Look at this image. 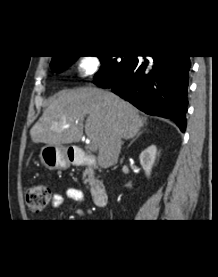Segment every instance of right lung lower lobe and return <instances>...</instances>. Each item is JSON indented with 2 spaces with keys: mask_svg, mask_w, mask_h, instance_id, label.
Returning a JSON list of instances; mask_svg holds the SVG:
<instances>
[{
  "mask_svg": "<svg viewBox=\"0 0 218 277\" xmlns=\"http://www.w3.org/2000/svg\"><path fill=\"white\" fill-rule=\"evenodd\" d=\"M137 58L112 84L97 85L131 102L147 114L169 118L186 129L187 89L190 68L189 56H151Z\"/></svg>",
  "mask_w": 218,
  "mask_h": 277,
  "instance_id": "obj_1",
  "label": "right lung lower lobe"
}]
</instances>
